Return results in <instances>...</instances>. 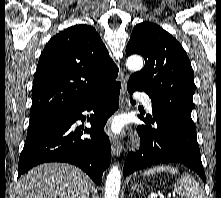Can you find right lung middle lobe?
Returning <instances> with one entry per match:
<instances>
[{
    "label": "right lung middle lobe",
    "instance_id": "right-lung-middle-lobe-1",
    "mask_svg": "<svg viewBox=\"0 0 221 198\" xmlns=\"http://www.w3.org/2000/svg\"><path fill=\"white\" fill-rule=\"evenodd\" d=\"M50 119H52V118H50ZM50 119H46V120H42V121H39V122L30 123L28 130L33 129L34 127H36V126H38V125H40V124H42V123H44L46 121H49Z\"/></svg>",
    "mask_w": 221,
    "mask_h": 198
}]
</instances>
